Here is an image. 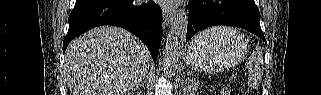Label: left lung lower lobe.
Segmentation results:
<instances>
[{
	"mask_svg": "<svg viewBox=\"0 0 321 95\" xmlns=\"http://www.w3.org/2000/svg\"><path fill=\"white\" fill-rule=\"evenodd\" d=\"M188 9L186 41L200 30L215 25L240 27L265 41L254 0H189Z\"/></svg>",
	"mask_w": 321,
	"mask_h": 95,
	"instance_id": "1",
	"label": "left lung lower lobe"
}]
</instances>
